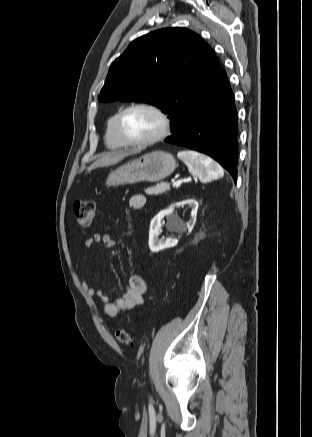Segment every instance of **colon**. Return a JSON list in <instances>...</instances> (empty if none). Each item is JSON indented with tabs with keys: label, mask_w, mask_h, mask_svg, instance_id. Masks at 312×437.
Masks as SVG:
<instances>
[{
	"label": "colon",
	"mask_w": 312,
	"mask_h": 437,
	"mask_svg": "<svg viewBox=\"0 0 312 437\" xmlns=\"http://www.w3.org/2000/svg\"><path fill=\"white\" fill-rule=\"evenodd\" d=\"M74 213L78 224L82 227H90L95 214V205L91 201H76L74 203ZM116 339L123 345H131L133 338L131 333L124 328L116 330Z\"/></svg>",
	"instance_id": "1"
}]
</instances>
